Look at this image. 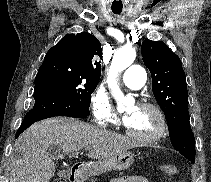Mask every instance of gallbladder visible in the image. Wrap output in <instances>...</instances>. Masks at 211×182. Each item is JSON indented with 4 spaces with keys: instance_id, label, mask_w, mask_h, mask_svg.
I'll return each mask as SVG.
<instances>
[{
    "instance_id": "obj_1",
    "label": "gallbladder",
    "mask_w": 211,
    "mask_h": 182,
    "mask_svg": "<svg viewBox=\"0 0 211 182\" xmlns=\"http://www.w3.org/2000/svg\"><path fill=\"white\" fill-rule=\"evenodd\" d=\"M51 157H59L61 156V150L59 146H51L48 150Z\"/></svg>"
}]
</instances>
